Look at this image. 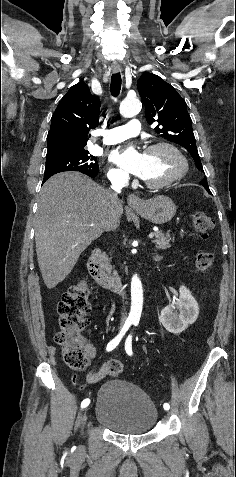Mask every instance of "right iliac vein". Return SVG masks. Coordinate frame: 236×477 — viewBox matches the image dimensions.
Instances as JSON below:
<instances>
[{"mask_svg": "<svg viewBox=\"0 0 236 477\" xmlns=\"http://www.w3.org/2000/svg\"><path fill=\"white\" fill-rule=\"evenodd\" d=\"M83 411H84V412L82 413V417H81V422H82V423H84L85 420H86V418L91 415V414L89 413V411H90L89 408L86 407V408H84Z\"/></svg>", "mask_w": 236, "mask_h": 477, "instance_id": "obj_1", "label": "right iliac vein"}]
</instances>
